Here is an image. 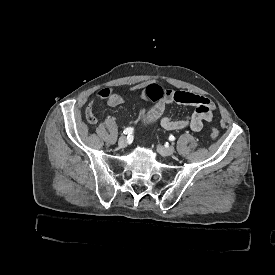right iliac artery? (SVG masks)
Segmentation results:
<instances>
[{
    "mask_svg": "<svg viewBox=\"0 0 275 275\" xmlns=\"http://www.w3.org/2000/svg\"><path fill=\"white\" fill-rule=\"evenodd\" d=\"M123 133L125 134V135H130V134H132L133 133V128H126L124 131H123Z\"/></svg>",
    "mask_w": 275,
    "mask_h": 275,
    "instance_id": "82829eb1",
    "label": "right iliac artery"
}]
</instances>
